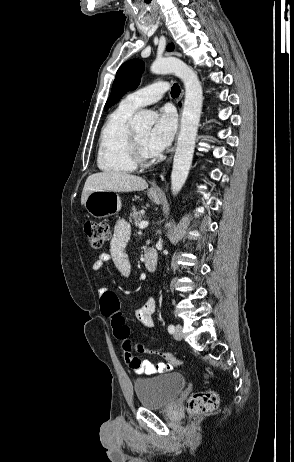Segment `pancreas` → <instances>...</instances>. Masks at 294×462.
I'll use <instances>...</instances> for the list:
<instances>
[{"mask_svg": "<svg viewBox=\"0 0 294 462\" xmlns=\"http://www.w3.org/2000/svg\"><path fill=\"white\" fill-rule=\"evenodd\" d=\"M142 217H143V213L133 208L130 212L129 220L131 223L137 226L139 225V222H141Z\"/></svg>", "mask_w": 294, "mask_h": 462, "instance_id": "pancreas-1", "label": "pancreas"}]
</instances>
